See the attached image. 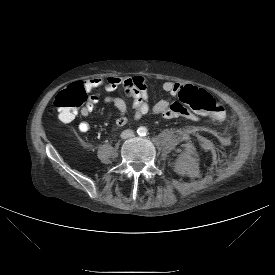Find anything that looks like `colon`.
<instances>
[{
    "instance_id": "colon-1",
    "label": "colon",
    "mask_w": 275,
    "mask_h": 275,
    "mask_svg": "<svg viewBox=\"0 0 275 275\" xmlns=\"http://www.w3.org/2000/svg\"><path fill=\"white\" fill-rule=\"evenodd\" d=\"M178 97L183 104L197 114L208 115L214 121L219 122L226 118L224 105L203 89L185 86L180 90ZM86 103L87 96L82 84H75L56 95L52 111L57 112L59 118L70 121L79 109L82 112Z\"/></svg>"
}]
</instances>
